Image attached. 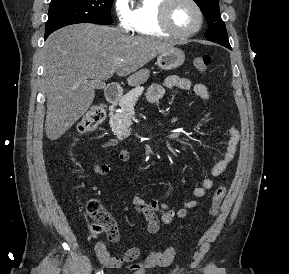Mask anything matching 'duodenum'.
<instances>
[{"label": "duodenum", "instance_id": "1", "mask_svg": "<svg viewBox=\"0 0 289 274\" xmlns=\"http://www.w3.org/2000/svg\"><path fill=\"white\" fill-rule=\"evenodd\" d=\"M121 95V88L115 83L109 84L105 89V97L111 105L116 104Z\"/></svg>", "mask_w": 289, "mask_h": 274}]
</instances>
